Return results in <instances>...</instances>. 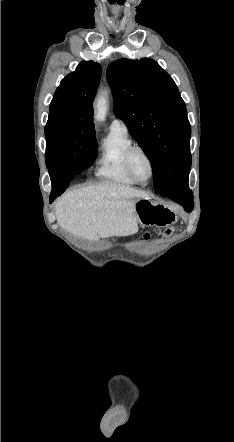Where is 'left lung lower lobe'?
Segmentation results:
<instances>
[{
	"mask_svg": "<svg viewBox=\"0 0 234 442\" xmlns=\"http://www.w3.org/2000/svg\"><path fill=\"white\" fill-rule=\"evenodd\" d=\"M163 196H167L175 202L181 204L187 212H190L193 209V195L192 191L188 187V179L176 189L165 192Z\"/></svg>",
	"mask_w": 234,
	"mask_h": 442,
	"instance_id": "obj_1",
	"label": "left lung lower lobe"
}]
</instances>
